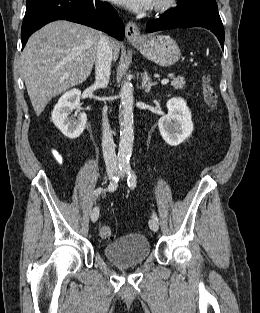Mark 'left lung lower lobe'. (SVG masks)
<instances>
[{
	"label": "left lung lower lobe",
	"mask_w": 260,
	"mask_h": 313,
	"mask_svg": "<svg viewBox=\"0 0 260 313\" xmlns=\"http://www.w3.org/2000/svg\"><path fill=\"white\" fill-rule=\"evenodd\" d=\"M203 27L214 33L222 48L224 46V28L219 13L202 10H180L174 8L166 11L159 18L150 21L146 31L151 33L172 28Z\"/></svg>",
	"instance_id": "obj_1"
}]
</instances>
